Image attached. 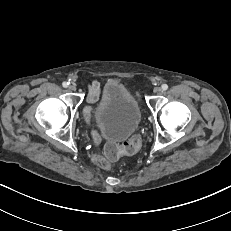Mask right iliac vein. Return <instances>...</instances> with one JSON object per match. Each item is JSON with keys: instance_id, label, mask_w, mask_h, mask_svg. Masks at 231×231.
<instances>
[{"instance_id": "right-iliac-vein-1", "label": "right iliac vein", "mask_w": 231, "mask_h": 231, "mask_svg": "<svg viewBox=\"0 0 231 231\" xmlns=\"http://www.w3.org/2000/svg\"><path fill=\"white\" fill-rule=\"evenodd\" d=\"M68 89H69L70 91H76V86H75V84L69 85Z\"/></svg>"}]
</instances>
